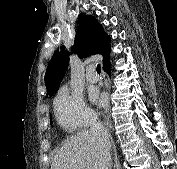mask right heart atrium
<instances>
[{
    "instance_id": "right-heart-atrium-1",
    "label": "right heart atrium",
    "mask_w": 177,
    "mask_h": 169,
    "mask_svg": "<svg viewBox=\"0 0 177 169\" xmlns=\"http://www.w3.org/2000/svg\"><path fill=\"white\" fill-rule=\"evenodd\" d=\"M53 106L58 124L69 132L85 128L96 118L93 110L85 103L82 94L67 87L59 89Z\"/></svg>"
}]
</instances>
